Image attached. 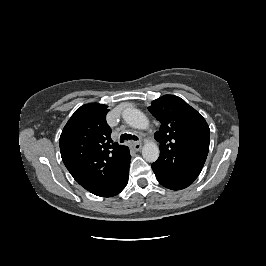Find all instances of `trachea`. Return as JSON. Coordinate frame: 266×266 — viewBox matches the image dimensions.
<instances>
[{
    "label": "trachea",
    "mask_w": 266,
    "mask_h": 266,
    "mask_svg": "<svg viewBox=\"0 0 266 266\" xmlns=\"http://www.w3.org/2000/svg\"><path fill=\"white\" fill-rule=\"evenodd\" d=\"M125 140H135L136 141V140H138V137L135 135H132V134L125 133V134H122L120 136V142H124Z\"/></svg>",
    "instance_id": "1"
}]
</instances>
